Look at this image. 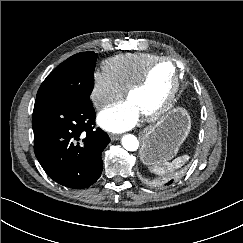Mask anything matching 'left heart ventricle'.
Returning <instances> with one entry per match:
<instances>
[{
    "instance_id": "left-heart-ventricle-1",
    "label": "left heart ventricle",
    "mask_w": 243,
    "mask_h": 243,
    "mask_svg": "<svg viewBox=\"0 0 243 243\" xmlns=\"http://www.w3.org/2000/svg\"><path fill=\"white\" fill-rule=\"evenodd\" d=\"M174 78V67L169 62L158 63L144 86L134 91L130 100L143 114L157 107L166 97Z\"/></svg>"
}]
</instances>
